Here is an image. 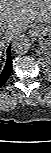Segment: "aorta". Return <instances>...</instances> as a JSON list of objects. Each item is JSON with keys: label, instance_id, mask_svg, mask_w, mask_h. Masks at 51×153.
Listing matches in <instances>:
<instances>
[{"label": "aorta", "instance_id": "1", "mask_svg": "<svg viewBox=\"0 0 51 153\" xmlns=\"http://www.w3.org/2000/svg\"><path fill=\"white\" fill-rule=\"evenodd\" d=\"M31 48V40L25 34H19L12 39V49L16 54H25Z\"/></svg>", "mask_w": 51, "mask_h": 153}]
</instances>
